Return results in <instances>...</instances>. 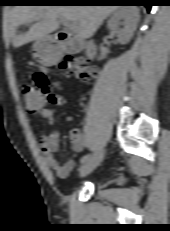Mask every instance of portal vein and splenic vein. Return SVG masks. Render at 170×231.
Here are the masks:
<instances>
[{
    "label": "portal vein and splenic vein",
    "instance_id": "1",
    "mask_svg": "<svg viewBox=\"0 0 170 231\" xmlns=\"http://www.w3.org/2000/svg\"><path fill=\"white\" fill-rule=\"evenodd\" d=\"M60 22L63 23L64 26H66L68 29L74 31V25L65 21L64 19L60 18Z\"/></svg>",
    "mask_w": 170,
    "mask_h": 231
}]
</instances>
